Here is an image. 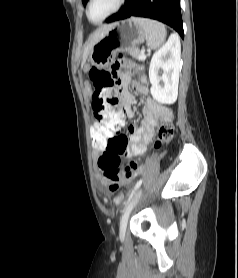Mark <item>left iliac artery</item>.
Listing matches in <instances>:
<instances>
[{
	"label": "left iliac artery",
	"instance_id": "1",
	"mask_svg": "<svg viewBox=\"0 0 238 278\" xmlns=\"http://www.w3.org/2000/svg\"><path fill=\"white\" fill-rule=\"evenodd\" d=\"M142 181H143V180L140 179V180L136 183V185H135V187H134V190H133L132 193L129 195L128 200L125 202V205H127V204L129 203V201L132 199V197H133L135 191L141 186Z\"/></svg>",
	"mask_w": 238,
	"mask_h": 278
}]
</instances>
